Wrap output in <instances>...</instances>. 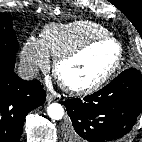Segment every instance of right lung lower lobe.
<instances>
[{
    "label": "right lung lower lobe",
    "instance_id": "98d812e1",
    "mask_svg": "<svg viewBox=\"0 0 142 142\" xmlns=\"http://www.w3.org/2000/svg\"><path fill=\"white\" fill-rule=\"evenodd\" d=\"M15 61L0 56V142H19L26 115L44 103L39 81L14 73Z\"/></svg>",
    "mask_w": 142,
    "mask_h": 142
}]
</instances>
